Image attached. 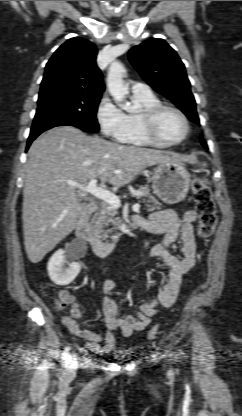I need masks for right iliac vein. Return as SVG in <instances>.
Listing matches in <instances>:
<instances>
[{"mask_svg":"<svg viewBox=\"0 0 242 416\" xmlns=\"http://www.w3.org/2000/svg\"><path fill=\"white\" fill-rule=\"evenodd\" d=\"M74 361H71V363L69 364V369L70 370H73L74 368H75V366H74V363H73Z\"/></svg>","mask_w":242,"mask_h":416,"instance_id":"obj_1","label":"right iliac vein"}]
</instances>
